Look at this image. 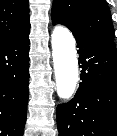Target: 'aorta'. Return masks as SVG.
Returning a JSON list of instances; mask_svg holds the SVG:
<instances>
[{
  "label": "aorta",
  "instance_id": "762f6f07",
  "mask_svg": "<svg viewBox=\"0 0 117 136\" xmlns=\"http://www.w3.org/2000/svg\"><path fill=\"white\" fill-rule=\"evenodd\" d=\"M51 44L57 94L68 100L79 79L76 41L69 29L58 25L51 34Z\"/></svg>",
  "mask_w": 117,
  "mask_h": 136
}]
</instances>
